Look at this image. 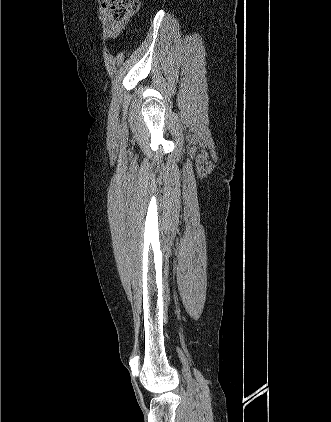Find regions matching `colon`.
<instances>
[{"instance_id": "obj_1", "label": "colon", "mask_w": 331, "mask_h": 422, "mask_svg": "<svg viewBox=\"0 0 331 422\" xmlns=\"http://www.w3.org/2000/svg\"><path fill=\"white\" fill-rule=\"evenodd\" d=\"M112 21L125 24L139 7V0H106Z\"/></svg>"}]
</instances>
